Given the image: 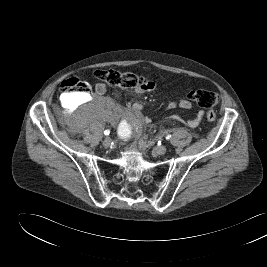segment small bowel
<instances>
[{"label":"small bowel","mask_w":267,"mask_h":267,"mask_svg":"<svg viewBox=\"0 0 267 267\" xmlns=\"http://www.w3.org/2000/svg\"><path fill=\"white\" fill-rule=\"evenodd\" d=\"M156 88L155 83L151 82L150 87L146 88H139L135 89L134 92L137 94L145 93L152 91ZM95 92L99 96H103L107 92V86L104 83H97L95 86ZM169 108H182V109H190L192 107V103L187 98H178V99H172L168 102ZM141 111V105L134 103L130 106H128L126 109H119L116 111V119H126L133 123L135 126L140 125L141 123L150 124L152 122L150 117H143L140 113ZM201 116H198L195 119H191L188 121V124L191 126H195L200 122Z\"/></svg>","instance_id":"c3829d8e"}]
</instances>
